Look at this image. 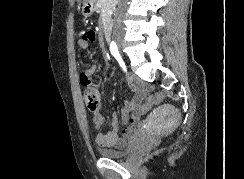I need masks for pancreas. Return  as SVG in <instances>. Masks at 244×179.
<instances>
[{
	"label": "pancreas",
	"instance_id": "cf45deb5",
	"mask_svg": "<svg viewBox=\"0 0 244 179\" xmlns=\"http://www.w3.org/2000/svg\"><path fill=\"white\" fill-rule=\"evenodd\" d=\"M111 0H98L97 4L99 6V12L101 20H106L108 18L110 12H112V8L110 6Z\"/></svg>",
	"mask_w": 244,
	"mask_h": 179
}]
</instances>
